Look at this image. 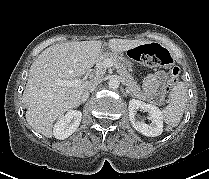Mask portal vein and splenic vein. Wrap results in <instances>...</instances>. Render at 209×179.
Wrapping results in <instances>:
<instances>
[{
	"label": "portal vein and splenic vein",
	"mask_w": 209,
	"mask_h": 179,
	"mask_svg": "<svg viewBox=\"0 0 209 179\" xmlns=\"http://www.w3.org/2000/svg\"><path fill=\"white\" fill-rule=\"evenodd\" d=\"M104 65L106 68L108 67H112L113 66V62L110 59H106L104 62ZM83 80L81 79H73V80H58V84L62 85V86H77L78 84H80Z\"/></svg>",
	"instance_id": "portal-vein-and-splenic-vein-1"
}]
</instances>
